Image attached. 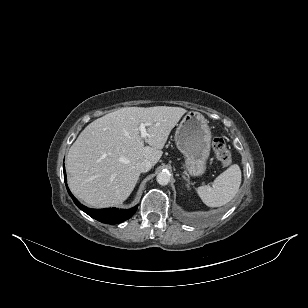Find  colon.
<instances>
[{"mask_svg": "<svg viewBox=\"0 0 308 308\" xmlns=\"http://www.w3.org/2000/svg\"><path fill=\"white\" fill-rule=\"evenodd\" d=\"M212 148L217 159L223 166L230 165L232 161V154L223 138H214L212 141Z\"/></svg>", "mask_w": 308, "mask_h": 308, "instance_id": "colon-1", "label": "colon"}]
</instances>
